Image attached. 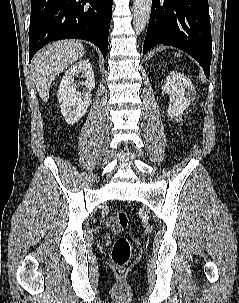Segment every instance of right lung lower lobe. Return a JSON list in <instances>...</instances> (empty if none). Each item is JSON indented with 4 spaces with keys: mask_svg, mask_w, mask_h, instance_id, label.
I'll return each mask as SVG.
<instances>
[{
    "mask_svg": "<svg viewBox=\"0 0 239 303\" xmlns=\"http://www.w3.org/2000/svg\"><path fill=\"white\" fill-rule=\"evenodd\" d=\"M113 0H32L29 59L45 44L60 39L94 43L108 51Z\"/></svg>",
    "mask_w": 239,
    "mask_h": 303,
    "instance_id": "1",
    "label": "right lung lower lobe"
}]
</instances>
